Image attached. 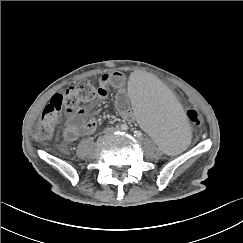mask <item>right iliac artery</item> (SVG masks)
I'll use <instances>...</instances> for the list:
<instances>
[{
	"mask_svg": "<svg viewBox=\"0 0 243 243\" xmlns=\"http://www.w3.org/2000/svg\"><path fill=\"white\" fill-rule=\"evenodd\" d=\"M121 130L127 131L128 130V126L126 124H122L121 125Z\"/></svg>",
	"mask_w": 243,
	"mask_h": 243,
	"instance_id": "obj_1",
	"label": "right iliac artery"
}]
</instances>
